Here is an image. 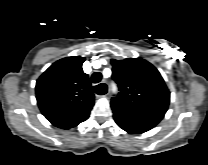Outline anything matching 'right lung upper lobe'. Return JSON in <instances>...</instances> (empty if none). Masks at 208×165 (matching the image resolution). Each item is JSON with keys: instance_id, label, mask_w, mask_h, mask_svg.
<instances>
[{"instance_id": "cb5924a9", "label": "right lung upper lobe", "mask_w": 208, "mask_h": 165, "mask_svg": "<svg viewBox=\"0 0 208 165\" xmlns=\"http://www.w3.org/2000/svg\"><path fill=\"white\" fill-rule=\"evenodd\" d=\"M84 57L71 56L52 64L36 82L37 104L55 127L71 129L88 119L94 94L83 72Z\"/></svg>"}]
</instances>
